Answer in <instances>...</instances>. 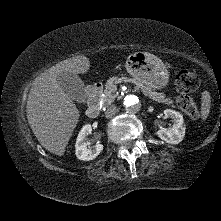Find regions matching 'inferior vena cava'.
Listing matches in <instances>:
<instances>
[{"label": "inferior vena cava", "instance_id": "1", "mask_svg": "<svg viewBox=\"0 0 221 221\" xmlns=\"http://www.w3.org/2000/svg\"><path fill=\"white\" fill-rule=\"evenodd\" d=\"M117 112V107L115 105L110 106L109 108H107V110L105 111V117L106 118H112Z\"/></svg>", "mask_w": 221, "mask_h": 221}]
</instances>
